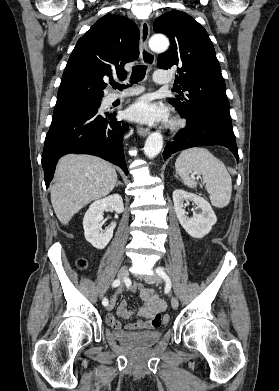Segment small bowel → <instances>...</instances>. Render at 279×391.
Returning <instances> with one entry per match:
<instances>
[{"label": "small bowel", "mask_w": 279, "mask_h": 391, "mask_svg": "<svg viewBox=\"0 0 279 391\" xmlns=\"http://www.w3.org/2000/svg\"><path fill=\"white\" fill-rule=\"evenodd\" d=\"M132 291H139L144 305L138 309L129 310L127 302L122 300L116 310V315L108 314L106 319L110 326L115 329H127V330H138V329H154L161 324V314L166 310V302L159 298L153 290L146 288L142 284H133L131 286ZM133 315L144 318L145 320H137L133 323L123 324L119 320L128 319Z\"/></svg>", "instance_id": "c3829d8e"}]
</instances>
